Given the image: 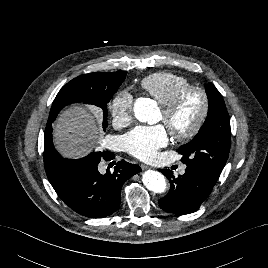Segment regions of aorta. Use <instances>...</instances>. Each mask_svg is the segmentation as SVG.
<instances>
[{
	"label": "aorta",
	"mask_w": 268,
	"mask_h": 268,
	"mask_svg": "<svg viewBox=\"0 0 268 268\" xmlns=\"http://www.w3.org/2000/svg\"><path fill=\"white\" fill-rule=\"evenodd\" d=\"M134 114L137 120L153 124L157 121L156 106L149 98H139L134 104ZM142 182L145 187L155 193H163L166 190V179L158 171L147 170L142 175Z\"/></svg>",
	"instance_id": "762f6f07"
}]
</instances>
